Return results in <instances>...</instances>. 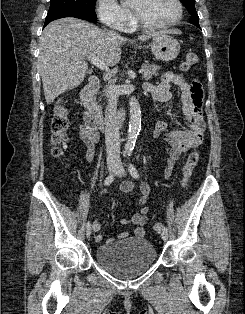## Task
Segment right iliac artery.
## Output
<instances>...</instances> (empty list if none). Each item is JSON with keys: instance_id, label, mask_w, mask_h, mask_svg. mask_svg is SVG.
Instances as JSON below:
<instances>
[{"instance_id": "obj_1", "label": "right iliac artery", "mask_w": 245, "mask_h": 314, "mask_svg": "<svg viewBox=\"0 0 245 314\" xmlns=\"http://www.w3.org/2000/svg\"><path fill=\"white\" fill-rule=\"evenodd\" d=\"M114 180V174L109 175L108 177H106V179L104 180V185L108 186L110 185ZM87 229L91 227V223L88 221L86 224Z\"/></svg>"}]
</instances>
